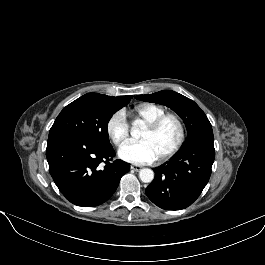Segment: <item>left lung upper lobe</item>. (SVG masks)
I'll use <instances>...</instances> for the list:
<instances>
[{
	"label": "left lung upper lobe",
	"instance_id": "left-lung-upper-lobe-1",
	"mask_svg": "<svg viewBox=\"0 0 265 265\" xmlns=\"http://www.w3.org/2000/svg\"><path fill=\"white\" fill-rule=\"evenodd\" d=\"M135 98L145 102L166 105L175 111L185 121L188 137L199 130L212 127L200 107L191 99L177 92L164 90L149 95H138Z\"/></svg>",
	"mask_w": 265,
	"mask_h": 265
}]
</instances>
